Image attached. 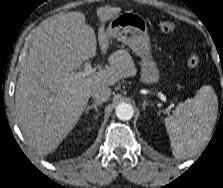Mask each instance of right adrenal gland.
<instances>
[{
    "label": "right adrenal gland",
    "mask_w": 223,
    "mask_h": 188,
    "mask_svg": "<svg viewBox=\"0 0 223 188\" xmlns=\"http://www.w3.org/2000/svg\"><path fill=\"white\" fill-rule=\"evenodd\" d=\"M101 102H94L91 106L86 107L85 113H88L89 110L94 109L95 112H98L97 106L101 105Z\"/></svg>",
    "instance_id": "2a0ac1e0"
}]
</instances>
